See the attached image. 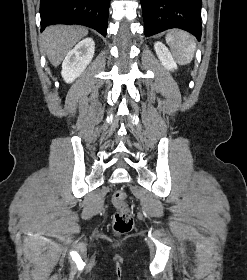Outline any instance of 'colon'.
Returning a JSON list of instances; mask_svg holds the SVG:
<instances>
[{"label":"colon","instance_id":"obj_1","mask_svg":"<svg viewBox=\"0 0 247 280\" xmlns=\"http://www.w3.org/2000/svg\"><path fill=\"white\" fill-rule=\"evenodd\" d=\"M127 194L120 189L114 192L112 203L116 209L113 217V230L117 234H124L133 228V214L127 204Z\"/></svg>","mask_w":247,"mask_h":280}]
</instances>
